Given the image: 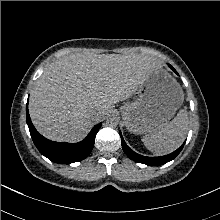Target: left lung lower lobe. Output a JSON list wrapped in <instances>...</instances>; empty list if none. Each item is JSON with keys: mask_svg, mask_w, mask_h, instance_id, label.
Wrapping results in <instances>:
<instances>
[{"mask_svg": "<svg viewBox=\"0 0 220 220\" xmlns=\"http://www.w3.org/2000/svg\"><path fill=\"white\" fill-rule=\"evenodd\" d=\"M169 67L176 73V70L171 66L169 65ZM120 136H121V141H122V148H123V151L125 152V154L130 158L132 159L133 161L135 162H139V163H143V164H146V165H150V166H159V165H163L171 160H173L179 153L180 151L182 150L183 146L185 143L182 144L181 147H179L176 151H174L173 153L171 154H168L166 156H161V157H146V156H142V155H139L137 153H135L134 151H132L128 146L127 144L125 143L122 135H121V132H120Z\"/></svg>", "mask_w": 220, "mask_h": 220, "instance_id": "1", "label": "left lung lower lobe"}]
</instances>
